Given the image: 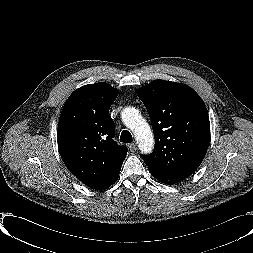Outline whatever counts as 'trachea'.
Wrapping results in <instances>:
<instances>
[{
  "mask_svg": "<svg viewBox=\"0 0 253 253\" xmlns=\"http://www.w3.org/2000/svg\"><path fill=\"white\" fill-rule=\"evenodd\" d=\"M133 141L132 135L128 130H123L120 135V142L131 143Z\"/></svg>",
  "mask_w": 253,
  "mask_h": 253,
  "instance_id": "trachea-1",
  "label": "trachea"
}]
</instances>
